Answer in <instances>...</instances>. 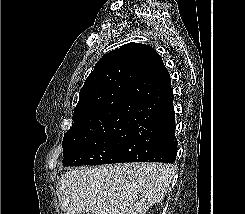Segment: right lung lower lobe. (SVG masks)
Listing matches in <instances>:
<instances>
[{"mask_svg":"<svg viewBox=\"0 0 245 214\" xmlns=\"http://www.w3.org/2000/svg\"><path fill=\"white\" fill-rule=\"evenodd\" d=\"M141 111L128 127L120 143L118 162L173 163L177 154L175 114L171 79L166 71V85L157 94L138 98Z\"/></svg>","mask_w":245,"mask_h":214,"instance_id":"right-lung-lower-lobe-1","label":"right lung lower lobe"}]
</instances>
